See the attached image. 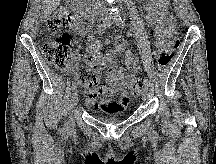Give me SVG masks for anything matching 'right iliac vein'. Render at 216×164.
<instances>
[{
    "label": "right iliac vein",
    "mask_w": 216,
    "mask_h": 164,
    "mask_svg": "<svg viewBox=\"0 0 216 164\" xmlns=\"http://www.w3.org/2000/svg\"><path fill=\"white\" fill-rule=\"evenodd\" d=\"M77 103H78V93H77V90L75 88L72 92V95H71L70 108H71L72 112H73L75 106L77 105Z\"/></svg>",
    "instance_id": "63e3f726"
}]
</instances>
